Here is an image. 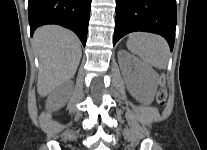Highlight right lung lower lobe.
<instances>
[{
  "label": "right lung lower lobe",
  "mask_w": 207,
  "mask_h": 150,
  "mask_svg": "<svg viewBox=\"0 0 207 150\" xmlns=\"http://www.w3.org/2000/svg\"><path fill=\"white\" fill-rule=\"evenodd\" d=\"M91 0H29L31 34L44 24H58L71 29L86 44Z\"/></svg>",
  "instance_id": "1"
}]
</instances>
